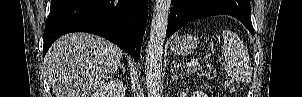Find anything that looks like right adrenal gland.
Instances as JSON below:
<instances>
[{
    "instance_id": "2a0ac1e0",
    "label": "right adrenal gland",
    "mask_w": 302,
    "mask_h": 97,
    "mask_svg": "<svg viewBox=\"0 0 302 97\" xmlns=\"http://www.w3.org/2000/svg\"><path fill=\"white\" fill-rule=\"evenodd\" d=\"M120 69H122L124 73L126 72V69L123 64L120 65Z\"/></svg>"
}]
</instances>
